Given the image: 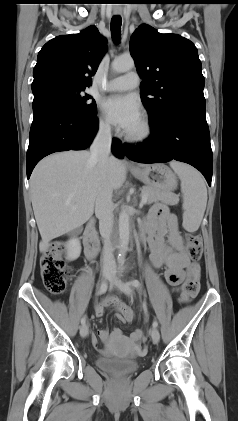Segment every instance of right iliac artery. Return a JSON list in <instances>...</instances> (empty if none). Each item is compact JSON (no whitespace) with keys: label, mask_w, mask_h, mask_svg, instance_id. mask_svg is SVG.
<instances>
[{"label":"right iliac artery","mask_w":238,"mask_h":421,"mask_svg":"<svg viewBox=\"0 0 238 421\" xmlns=\"http://www.w3.org/2000/svg\"><path fill=\"white\" fill-rule=\"evenodd\" d=\"M106 290H107V283L104 281V282L101 284L100 289H99V290H98V292H97V295H101V294L105 293V292H106ZM85 322H86V317H85V316H83V317H82V319H81V324H82V325H84V324H85Z\"/></svg>","instance_id":"obj_1"}]
</instances>
